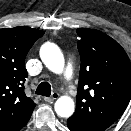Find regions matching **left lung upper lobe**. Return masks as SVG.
Instances as JSON below:
<instances>
[{
  "mask_svg": "<svg viewBox=\"0 0 131 131\" xmlns=\"http://www.w3.org/2000/svg\"><path fill=\"white\" fill-rule=\"evenodd\" d=\"M81 56L76 111L71 116L94 131H104L131 98V63L124 49L101 31L78 28Z\"/></svg>",
  "mask_w": 131,
  "mask_h": 131,
  "instance_id": "1",
  "label": "left lung upper lobe"
}]
</instances>
